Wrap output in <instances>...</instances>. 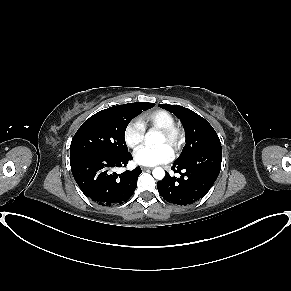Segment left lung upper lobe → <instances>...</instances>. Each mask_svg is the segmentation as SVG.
I'll use <instances>...</instances> for the list:
<instances>
[{"mask_svg": "<svg viewBox=\"0 0 291 291\" xmlns=\"http://www.w3.org/2000/svg\"><path fill=\"white\" fill-rule=\"evenodd\" d=\"M159 106L176 115L185 129L186 144L177 160L210 149H221L219 137L206 119L183 106L168 104Z\"/></svg>", "mask_w": 291, "mask_h": 291, "instance_id": "5c2ea615", "label": "left lung upper lobe"}]
</instances>
